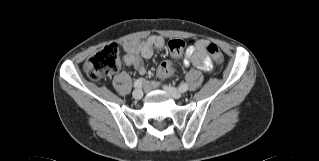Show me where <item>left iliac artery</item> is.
<instances>
[{
    "label": "left iliac artery",
    "mask_w": 319,
    "mask_h": 161,
    "mask_svg": "<svg viewBox=\"0 0 319 161\" xmlns=\"http://www.w3.org/2000/svg\"><path fill=\"white\" fill-rule=\"evenodd\" d=\"M179 90L181 92H186L188 90V85L186 83H182L180 86H179Z\"/></svg>",
    "instance_id": "44dca946"
}]
</instances>
